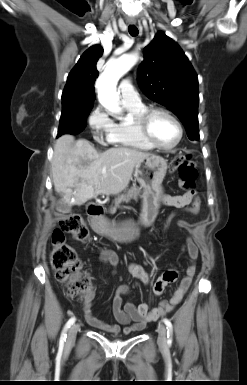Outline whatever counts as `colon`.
<instances>
[{"label": "colon", "instance_id": "5ec220e1", "mask_svg": "<svg viewBox=\"0 0 247 385\" xmlns=\"http://www.w3.org/2000/svg\"><path fill=\"white\" fill-rule=\"evenodd\" d=\"M172 167L178 169L181 187L192 191L198 172L190 156L183 154L175 156ZM65 235H71L79 241H86L89 238V231L79 214H70L58 222L51 236L50 262L57 281L65 285L68 296L88 302L89 295L93 291L92 281L81 272L77 253L66 243Z\"/></svg>", "mask_w": 247, "mask_h": 385}]
</instances>
